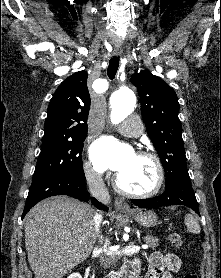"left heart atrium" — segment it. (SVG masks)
Instances as JSON below:
<instances>
[{
  "label": "left heart atrium",
  "mask_w": 221,
  "mask_h": 278,
  "mask_svg": "<svg viewBox=\"0 0 221 278\" xmlns=\"http://www.w3.org/2000/svg\"><path fill=\"white\" fill-rule=\"evenodd\" d=\"M133 149L111 137H102L90 148V157L95 168L100 171L111 170L120 173L134 156Z\"/></svg>",
  "instance_id": "obj_1"
}]
</instances>
